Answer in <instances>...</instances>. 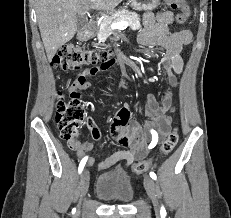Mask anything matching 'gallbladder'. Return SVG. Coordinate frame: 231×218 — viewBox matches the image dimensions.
<instances>
[{
    "label": "gallbladder",
    "mask_w": 231,
    "mask_h": 218,
    "mask_svg": "<svg viewBox=\"0 0 231 218\" xmlns=\"http://www.w3.org/2000/svg\"><path fill=\"white\" fill-rule=\"evenodd\" d=\"M76 25H77V29H78V30L82 29V28L86 25V20H85V18L79 16V17L77 18Z\"/></svg>",
    "instance_id": "obj_1"
}]
</instances>
